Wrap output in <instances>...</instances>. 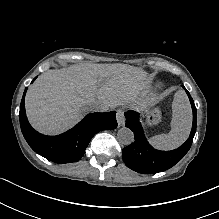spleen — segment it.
<instances>
[{
  "mask_svg": "<svg viewBox=\"0 0 219 219\" xmlns=\"http://www.w3.org/2000/svg\"><path fill=\"white\" fill-rule=\"evenodd\" d=\"M170 127L168 134L148 139L154 149L168 152L179 148L187 141L192 129V110L184 90H177L174 94Z\"/></svg>",
  "mask_w": 219,
  "mask_h": 219,
  "instance_id": "3e777b00",
  "label": "spleen"
}]
</instances>
